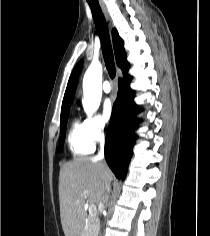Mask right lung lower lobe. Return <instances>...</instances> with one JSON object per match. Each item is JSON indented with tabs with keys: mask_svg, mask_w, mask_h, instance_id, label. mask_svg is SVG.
<instances>
[{
	"mask_svg": "<svg viewBox=\"0 0 210 236\" xmlns=\"http://www.w3.org/2000/svg\"><path fill=\"white\" fill-rule=\"evenodd\" d=\"M124 72L125 79H119L118 96L113 105V111L105 140V159L117 178L124 179L132 148L136 139L134 130L139 112L133 101L134 92L130 89L131 76Z\"/></svg>",
	"mask_w": 210,
	"mask_h": 236,
	"instance_id": "obj_1",
	"label": "right lung lower lobe"
}]
</instances>
